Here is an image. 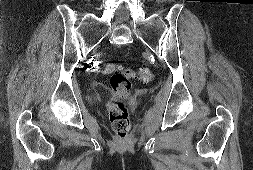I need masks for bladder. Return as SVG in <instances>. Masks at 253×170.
Returning a JSON list of instances; mask_svg holds the SVG:
<instances>
[{
	"label": "bladder",
	"instance_id": "bladder-1",
	"mask_svg": "<svg viewBox=\"0 0 253 170\" xmlns=\"http://www.w3.org/2000/svg\"><path fill=\"white\" fill-rule=\"evenodd\" d=\"M90 99H91V101H95L96 100V96L92 95Z\"/></svg>",
	"mask_w": 253,
	"mask_h": 170
}]
</instances>
